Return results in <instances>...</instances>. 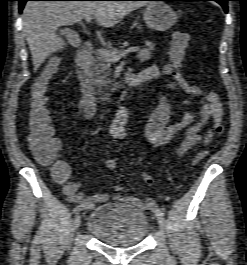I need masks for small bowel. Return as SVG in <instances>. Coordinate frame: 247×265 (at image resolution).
Here are the masks:
<instances>
[{
	"mask_svg": "<svg viewBox=\"0 0 247 265\" xmlns=\"http://www.w3.org/2000/svg\"><path fill=\"white\" fill-rule=\"evenodd\" d=\"M172 73L171 66L166 63L163 67L156 65L149 66L139 73L140 77L144 82L158 79L161 75L169 77ZM169 89H174V82L169 81L167 83ZM199 111L194 113L187 111L183 118L175 123H171V108L166 96L162 93L158 94V105L149 118L145 126V136L148 141L154 146H163L172 141L177 135L181 134V140L178 148V153L183 155L189 149L199 145H207L210 143L213 137L214 125L221 122L223 115L222 104L219 100L218 95L215 92H207L203 98H198ZM97 101L86 95H83L78 104V116L84 120H90L96 112ZM184 104L188 105L189 100L185 99ZM209 118H212L214 123L212 128L208 129L207 132L202 133L203 128L207 124ZM111 134L117 138L122 139L126 133L122 126L119 124H113L111 127ZM69 171L65 177L56 178V181L61 184L62 192L66 197L67 201L76 205L85 203H91L93 205H99L107 202L110 199V195L107 193H100L87 196L80 191L81 182L73 181L69 179ZM141 178L145 184L151 187L154 183L153 177L148 173H141ZM123 190L122 185L117 184L114 186L113 200L125 203L141 210L152 209L155 205V198L148 197L145 200L132 196H123L121 192Z\"/></svg>",
	"mask_w": 247,
	"mask_h": 265,
	"instance_id": "obj_1",
	"label": "small bowel"
}]
</instances>
